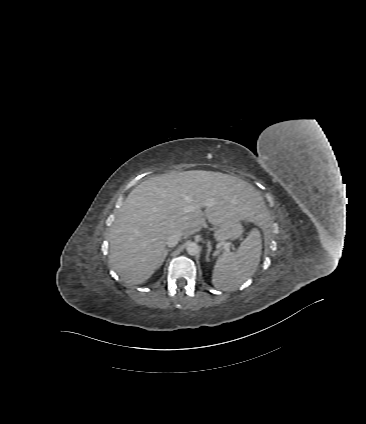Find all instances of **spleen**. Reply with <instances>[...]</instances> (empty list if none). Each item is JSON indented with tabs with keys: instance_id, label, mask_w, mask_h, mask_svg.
Returning a JSON list of instances; mask_svg holds the SVG:
<instances>
[{
	"instance_id": "spleen-1",
	"label": "spleen",
	"mask_w": 366,
	"mask_h": 424,
	"mask_svg": "<svg viewBox=\"0 0 366 424\" xmlns=\"http://www.w3.org/2000/svg\"><path fill=\"white\" fill-rule=\"evenodd\" d=\"M261 250V234L254 228L235 253L224 252L218 258L212 274L213 285L224 291L237 289L256 271Z\"/></svg>"
}]
</instances>
